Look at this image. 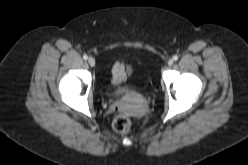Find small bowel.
<instances>
[{
  "label": "small bowel",
  "mask_w": 248,
  "mask_h": 165,
  "mask_svg": "<svg viewBox=\"0 0 248 165\" xmlns=\"http://www.w3.org/2000/svg\"><path fill=\"white\" fill-rule=\"evenodd\" d=\"M112 78L111 83L114 86H119L126 82L132 72L131 65L129 63L115 62L112 66Z\"/></svg>",
  "instance_id": "small-bowel-1"
}]
</instances>
